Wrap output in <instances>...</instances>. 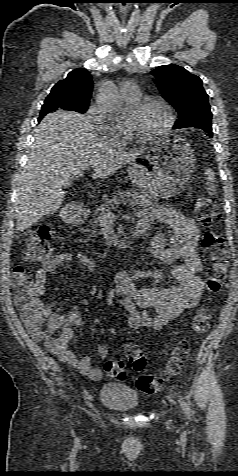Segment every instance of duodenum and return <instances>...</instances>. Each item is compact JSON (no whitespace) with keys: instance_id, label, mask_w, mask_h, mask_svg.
Returning <instances> with one entry per match:
<instances>
[{"instance_id":"410a0bca","label":"duodenum","mask_w":238,"mask_h":476,"mask_svg":"<svg viewBox=\"0 0 238 476\" xmlns=\"http://www.w3.org/2000/svg\"><path fill=\"white\" fill-rule=\"evenodd\" d=\"M90 215L88 209H80L71 211L66 214V220L71 224H79L83 222ZM144 233L141 230H137L134 234L136 238H140Z\"/></svg>"}]
</instances>
